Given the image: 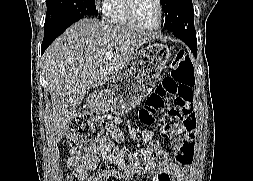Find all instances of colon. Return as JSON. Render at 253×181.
<instances>
[{
	"label": "colon",
	"mask_w": 253,
	"mask_h": 181,
	"mask_svg": "<svg viewBox=\"0 0 253 181\" xmlns=\"http://www.w3.org/2000/svg\"><path fill=\"white\" fill-rule=\"evenodd\" d=\"M170 55H176L172 73L163 78L140 111V120L145 125L154 124L157 112L164 106L166 100H171L173 103L170 116L182 119L190 113L195 86L191 60L186 50H170ZM159 131L163 136L170 135L168 125L161 126ZM67 138L74 148L102 153L109 160L137 170L150 168L165 160V152L157 141H151L146 150L130 152L127 149H117L105 140L98 119L85 111H79L73 116L68 127Z\"/></svg>",
	"instance_id": "colon-1"
}]
</instances>
